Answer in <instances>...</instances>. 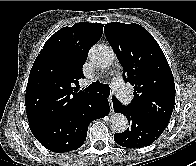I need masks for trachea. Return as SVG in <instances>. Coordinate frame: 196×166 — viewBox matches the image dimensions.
I'll return each mask as SVG.
<instances>
[{
	"instance_id": "3493384b",
	"label": "trachea",
	"mask_w": 196,
	"mask_h": 166,
	"mask_svg": "<svg viewBox=\"0 0 196 166\" xmlns=\"http://www.w3.org/2000/svg\"><path fill=\"white\" fill-rule=\"evenodd\" d=\"M86 92L89 93H97L100 92L102 93L104 96L108 97L110 95V88L108 85L106 84H102L100 82H94L91 85H89L86 89Z\"/></svg>"
}]
</instances>
